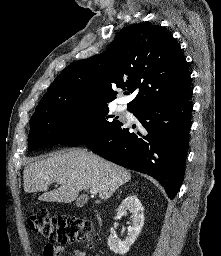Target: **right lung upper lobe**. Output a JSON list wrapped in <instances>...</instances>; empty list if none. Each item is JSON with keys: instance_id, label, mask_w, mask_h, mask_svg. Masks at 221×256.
<instances>
[{"instance_id": "1", "label": "right lung upper lobe", "mask_w": 221, "mask_h": 256, "mask_svg": "<svg viewBox=\"0 0 221 256\" xmlns=\"http://www.w3.org/2000/svg\"><path fill=\"white\" fill-rule=\"evenodd\" d=\"M138 91L128 103L135 112L152 101L192 93L186 59L162 26L127 27L101 54L67 66L53 81L35 113L81 103L104 104L116 98L113 88Z\"/></svg>"}]
</instances>
